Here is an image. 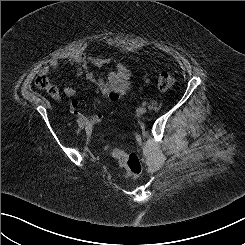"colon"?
I'll list each match as a JSON object with an SVG mask.
<instances>
[{
    "mask_svg": "<svg viewBox=\"0 0 245 245\" xmlns=\"http://www.w3.org/2000/svg\"><path fill=\"white\" fill-rule=\"evenodd\" d=\"M174 76L169 72H162L158 77V87L160 90H168L174 85ZM36 86L48 92L51 95L57 93L56 87L50 81L46 72H41L36 80ZM112 156H114L119 164L124 168V175L126 178L136 180L142 172V164L140 158L136 153H127L123 150L110 148L109 149Z\"/></svg>",
    "mask_w": 245,
    "mask_h": 245,
    "instance_id": "obj_1",
    "label": "colon"
}]
</instances>
